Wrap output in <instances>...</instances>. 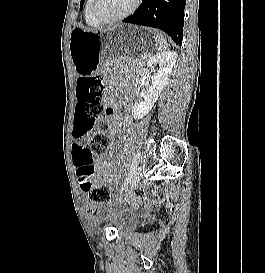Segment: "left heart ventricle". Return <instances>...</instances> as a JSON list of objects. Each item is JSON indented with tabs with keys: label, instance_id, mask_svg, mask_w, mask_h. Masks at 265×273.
Here are the masks:
<instances>
[{
	"label": "left heart ventricle",
	"instance_id": "b2bd125f",
	"mask_svg": "<svg viewBox=\"0 0 265 273\" xmlns=\"http://www.w3.org/2000/svg\"><path fill=\"white\" fill-rule=\"evenodd\" d=\"M135 0H99L98 10L105 17L120 15L131 8Z\"/></svg>",
	"mask_w": 265,
	"mask_h": 273
}]
</instances>
